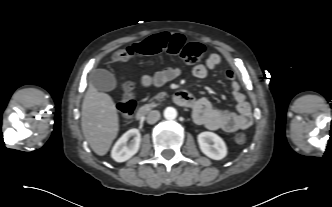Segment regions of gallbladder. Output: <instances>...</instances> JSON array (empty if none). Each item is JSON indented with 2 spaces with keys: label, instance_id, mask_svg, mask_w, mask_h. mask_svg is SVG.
<instances>
[{
  "label": "gallbladder",
  "instance_id": "obj_1",
  "mask_svg": "<svg viewBox=\"0 0 332 207\" xmlns=\"http://www.w3.org/2000/svg\"><path fill=\"white\" fill-rule=\"evenodd\" d=\"M90 82L99 91H112L117 82L112 73L104 69H97L91 74Z\"/></svg>",
  "mask_w": 332,
  "mask_h": 207
}]
</instances>
